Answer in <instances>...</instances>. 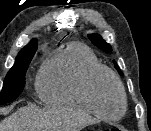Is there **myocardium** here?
Instances as JSON below:
<instances>
[{"label":"myocardium","mask_w":151,"mask_h":131,"mask_svg":"<svg viewBox=\"0 0 151 131\" xmlns=\"http://www.w3.org/2000/svg\"><path fill=\"white\" fill-rule=\"evenodd\" d=\"M103 74L109 76L112 79L121 97L122 101L121 111L116 116H108L101 112L94 100L93 95L94 82L100 75ZM82 95L90 110L99 118L105 120H118L126 113L128 102L125 88L119 77L110 68L104 65L99 64L89 69L82 83Z\"/></svg>","instance_id":"obj_1"}]
</instances>
